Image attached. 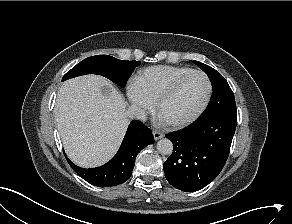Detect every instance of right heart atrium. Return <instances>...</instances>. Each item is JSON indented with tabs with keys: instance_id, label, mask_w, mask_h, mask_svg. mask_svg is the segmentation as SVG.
I'll return each instance as SVG.
<instances>
[{
	"instance_id": "d8ad5b80",
	"label": "right heart atrium",
	"mask_w": 292,
	"mask_h": 224,
	"mask_svg": "<svg viewBox=\"0 0 292 224\" xmlns=\"http://www.w3.org/2000/svg\"><path fill=\"white\" fill-rule=\"evenodd\" d=\"M127 96L132 106L139 114L146 113L153 108L152 101L145 96L135 82L128 86Z\"/></svg>"
}]
</instances>
